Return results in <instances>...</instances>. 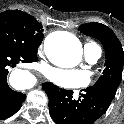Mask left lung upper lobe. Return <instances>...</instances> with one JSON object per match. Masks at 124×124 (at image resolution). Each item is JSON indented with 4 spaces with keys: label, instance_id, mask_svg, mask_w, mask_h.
<instances>
[{
    "label": "left lung upper lobe",
    "instance_id": "5c2ea615",
    "mask_svg": "<svg viewBox=\"0 0 124 124\" xmlns=\"http://www.w3.org/2000/svg\"><path fill=\"white\" fill-rule=\"evenodd\" d=\"M81 33L98 39L106 52L105 69L92 87L102 88L115 96L122 79L124 52L122 45L114 32L101 23H85L79 27Z\"/></svg>",
    "mask_w": 124,
    "mask_h": 124
}]
</instances>
